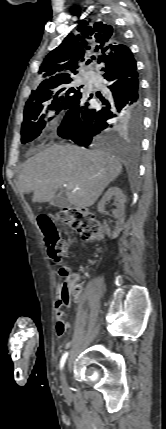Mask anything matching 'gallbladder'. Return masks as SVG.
I'll return each instance as SVG.
<instances>
[{"instance_id": "bac80fb5", "label": "gallbladder", "mask_w": 166, "mask_h": 429, "mask_svg": "<svg viewBox=\"0 0 166 429\" xmlns=\"http://www.w3.org/2000/svg\"><path fill=\"white\" fill-rule=\"evenodd\" d=\"M50 205L54 206V207H69L70 203L68 202V200L65 197H61V196H54L51 200H50Z\"/></svg>"}]
</instances>
